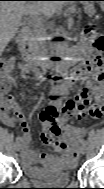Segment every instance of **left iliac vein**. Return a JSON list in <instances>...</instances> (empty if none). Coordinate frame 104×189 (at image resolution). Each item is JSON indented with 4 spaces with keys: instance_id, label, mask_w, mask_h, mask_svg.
Returning a JSON list of instances; mask_svg holds the SVG:
<instances>
[{
    "instance_id": "4c4485c4",
    "label": "left iliac vein",
    "mask_w": 104,
    "mask_h": 189,
    "mask_svg": "<svg viewBox=\"0 0 104 189\" xmlns=\"http://www.w3.org/2000/svg\"><path fill=\"white\" fill-rule=\"evenodd\" d=\"M80 153H81L82 155L86 154V148H85V147H82V148L80 149Z\"/></svg>"
}]
</instances>
